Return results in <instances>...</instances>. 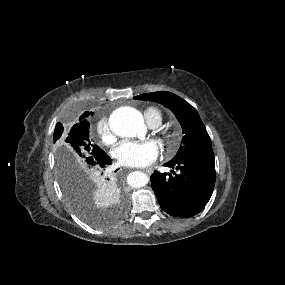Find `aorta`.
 <instances>
[{
	"mask_svg": "<svg viewBox=\"0 0 285 285\" xmlns=\"http://www.w3.org/2000/svg\"><path fill=\"white\" fill-rule=\"evenodd\" d=\"M111 131L120 137H143L146 126L142 114L133 107H120L112 112L109 117ZM128 184L134 188L144 187L148 183V176L140 171H135L127 177Z\"/></svg>",
	"mask_w": 285,
	"mask_h": 285,
	"instance_id": "obj_1",
	"label": "aorta"
}]
</instances>
